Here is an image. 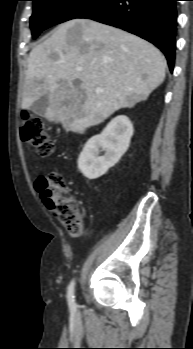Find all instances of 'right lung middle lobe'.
Segmentation results:
<instances>
[{"mask_svg": "<svg viewBox=\"0 0 193 349\" xmlns=\"http://www.w3.org/2000/svg\"><path fill=\"white\" fill-rule=\"evenodd\" d=\"M33 14L30 27L33 38L44 29L74 19L83 14L98 0H32Z\"/></svg>", "mask_w": 193, "mask_h": 349, "instance_id": "1", "label": "right lung middle lobe"}]
</instances>
